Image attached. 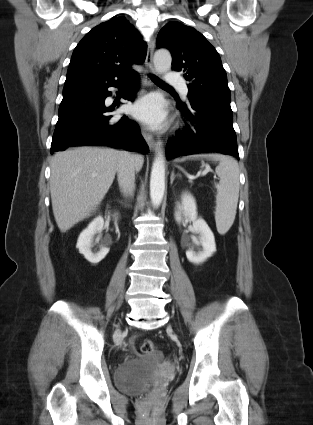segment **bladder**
<instances>
[{"mask_svg": "<svg viewBox=\"0 0 313 425\" xmlns=\"http://www.w3.org/2000/svg\"><path fill=\"white\" fill-rule=\"evenodd\" d=\"M161 354L135 357L120 363L116 368L115 385L120 391L137 394L158 382L157 369Z\"/></svg>", "mask_w": 313, "mask_h": 425, "instance_id": "31cf9c89", "label": "bladder"}]
</instances>
